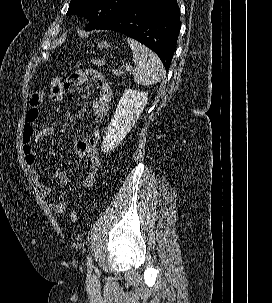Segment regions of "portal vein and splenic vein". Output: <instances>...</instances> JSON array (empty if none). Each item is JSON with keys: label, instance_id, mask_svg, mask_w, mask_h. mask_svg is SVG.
<instances>
[{"label": "portal vein and splenic vein", "instance_id": "portal-vein-and-splenic-vein-1", "mask_svg": "<svg viewBox=\"0 0 272 303\" xmlns=\"http://www.w3.org/2000/svg\"><path fill=\"white\" fill-rule=\"evenodd\" d=\"M125 68H126L127 71H131L132 70L131 66H126Z\"/></svg>", "mask_w": 272, "mask_h": 303}]
</instances>
